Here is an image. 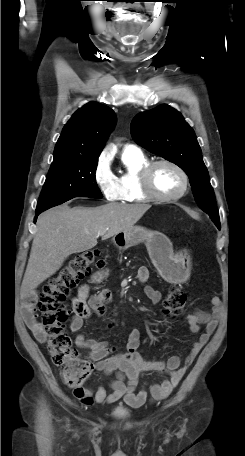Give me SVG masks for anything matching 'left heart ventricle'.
<instances>
[{
    "label": "left heart ventricle",
    "mask_w": 245,
    "mask_h": 456,
    "mask_svg": "<svg viewBox=\"0 0 245 456\" xmlns=\"http://www.w3.org/2000/svg\"><path fill=\"white\" fill-rule=\"evenodd\" d=\"M155 190L165 196L177 194L182 189L180 174L168 165H159L155 168L152 176Z\"/></svg>",
    "instance_id": "left-heart-ventricle-1"
}]
</instances>
